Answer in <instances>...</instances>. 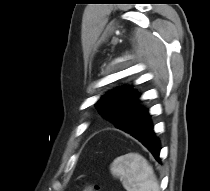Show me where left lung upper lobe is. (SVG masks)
Returning a JSON list of instances; mask_svg holds the SVG:
<instances>
[{
	"instance_id": "5c2ea615",
	"label": "left lung upper lobe",
	"mask_w": 210,
	"mask_h": 191,
	"mask_svg": "<svg viewBox=\"0 0 210 191\" xmlns=\"http://www.w3.org/2000/svg\"><path fill=\"white\" fill-rule=\"evenodd\" d=\"M139 97L132 86H119L102 96L95 107L117 128L131 133L138 125V120L132 119L131 114L138 108Z\"/></svg>"
}]
</instances>
